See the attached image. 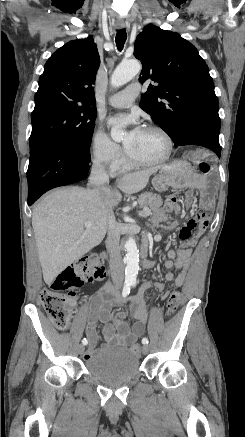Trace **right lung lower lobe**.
Segmentation results:
<instances>
[{"label":"right lung lower lobe","instance_id":"98d812e1","mask_svg":"<svg viewBox=\"0 0 245 437\" xmlns=\"http://www.w3.org/2000/svg\"><path fill=\"white\" fill-rule=\"evenodd\" d=\"M90 161V148L70 150L54 142L37 146L30 152L27 171L28 204L52 188L84 179Z\"/></svg>","mask_w":245,"mask_h":437}]
</instances>
